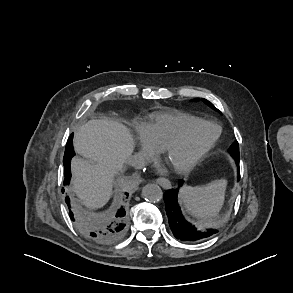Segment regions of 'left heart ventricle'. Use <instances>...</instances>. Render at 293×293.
Wrapping results in <instances>:
<instances>
[{
	"instance_id": "b2bd125f",
	"label": "left heart ventricle",
	"mask_w": 293,
	"mask_h": 293,
	"mask_svg": "<svg viewBox=\"0 0 293 293\" xmlns=\"http://www.w3.org/2000/svg\"><path fill=\"white\" fill-rule=\"evenodd\" d=\"M214 132V128L209 126H200L193 129L186 143L172 154L169 162L175 163L189 158L212 137Z\"/></svg>"
}]
</instances>
